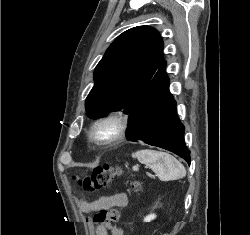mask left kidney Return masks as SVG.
<instances>
[{
  "mask_svg": "<svg viewBox=\"0 0 250 235\" xmlns=\"http://www.w3.org/2000/svg\"><path fill=\"white\" fill-rule=\"evenodd\" d=\"M156 218L155 214H150L144 218V222H150Z\"/></svg>",
  "mask_w": 250,
  "mask_h": 235,
  "instance_id": "1",
  "label": "left kidney"
}]
</instances>
